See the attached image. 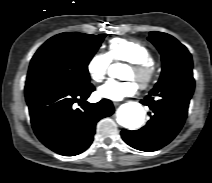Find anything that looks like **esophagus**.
Wrapping results in <instances>:
<instances>
[{
    "label": "esophagus",
    "mask_w": 212,
    "mask_h": 183,
    "mask_svg": "<svg viewBox=\"0 0 212 183\" xmlns=\"http://www.w3.org/2000/svg\"><path fill=\"white\" fill-rule=\"evenodd\" d=\"M114 106L117 107L120 105V102H113Z\"/></svg>",
    "instance_id": "esophagus-1"
}]
</instances>
